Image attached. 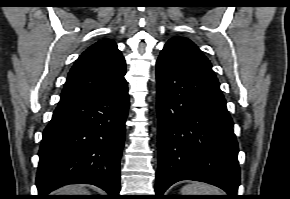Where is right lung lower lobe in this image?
Instances as JSON below:
<instances>
[{
	"instance_id": "1",
	"label": "right lung lower lobe",
	"mask_w": 290,
	"mask_h": 199,
	"mask_svg": "<svg viewBox=\"0 0 290 199\" xmlns=\"http://www.w3.org/2000/svg\"><path fill=\"white\" fill-rule=\"evenodd\" d=\"M129 109L127 83L107 93L58 105L43 132L37 199L67 184L96 185L118 199L120 158Z\"/></svg>"
}]
</instances>
